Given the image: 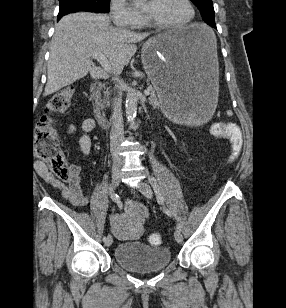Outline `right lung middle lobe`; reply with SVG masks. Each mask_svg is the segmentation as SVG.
Segmentation results:
<instances>
[{"mask_svg":"<svg viewBox=\"0 0 286 308\" xmlns=\"http://www.w3.org/2000/svg\"><path fill=\"white\" fill-rule=\"evenodd\" d=\"M59 13L74 11L108 12L110 0H59Z\"/></svg>","mask_w":286,"mask_h":308,"instance_id":"1","label":"right lung middle lobe"}]
</instances>
